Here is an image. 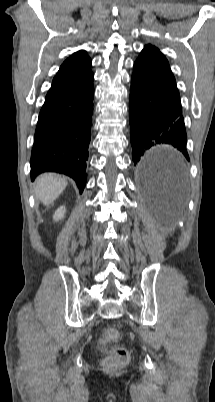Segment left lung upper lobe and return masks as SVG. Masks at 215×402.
<instances>
[{
  "label": "left lung upper lobe",
  "mask_w": 215,
  "mask_h": 402,
  "mask_svg": "<svg viewBox=\"0 0 215 402\" xmlns=\"http://www.w3.org/2000/svg\"><path fill=\"white\" fill-rule=\"evenodd\" d=\"M139 57L154 61L156 63L169 66V62L166 57L155 46L148 44L144 47Z\"/></svg>",
  "instance_id": "left-lung-upper-lobe-1"
}]
</instances>
